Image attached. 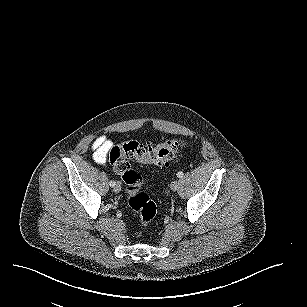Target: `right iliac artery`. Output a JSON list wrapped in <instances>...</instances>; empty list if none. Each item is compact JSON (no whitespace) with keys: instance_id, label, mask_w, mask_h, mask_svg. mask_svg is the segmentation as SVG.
<instances>
[{"instance_id":"obj_1","label":"right iliac artery","mask_w":307,"mask_h":307,"mask_svg":"<svg viewBox=\"0 0 307 307\" xmlns=\"http://www.w3.org/2000/svg\"><path fill=\"white\" fill-rule=\"evenodd\" d=\"M109 185H110L111 187H114V186H115V182H114V181H110V182H109Z\"/></svg>"}]
</instances>
